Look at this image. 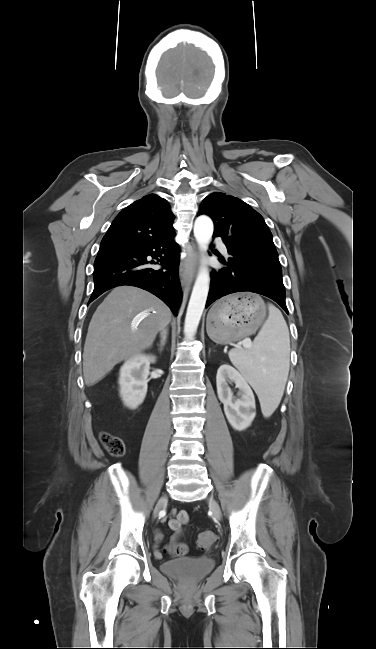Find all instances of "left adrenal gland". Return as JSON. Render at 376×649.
Here are the masks:
<instances>
[{"instance_id":"left-adrenal-gland-1","label":"left adrenal gland","mask_w":376,"mask_h":649,"mask_svg":"<svg viewBox=\"0 0 376 649\" xmlns=\"http://www.w3.org/2000/svg\"><path fill=\"white\" fill-rule=\"evenodd\" d=\"M210 352H211V349H209V354H210Z\"/></svg>"}]
</instances>
